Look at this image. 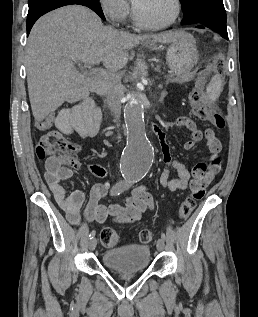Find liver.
I'll use <instances>...</instances> for the list:
<instances>
[{
  "label": "liver",
  "instance_id": "1",
  "mask_svg": "<svg viewBox=\"0 0 258 317\" xmlns=\"http://www.w3.org/2000/svg\"><path fill=\"white\" fill-rule=\"evenodd\" d=\"M181 30L159 34H130L104 26L100 16L81 4H69L47 12L35 22L27 40L25 66L28 94L37 126L64 100H71L89 76L76 70V60L103 62L108 72L128 62V48L140 40L175 42Z\"/></svg>",
  "mask_w": 258,
  "mask_h": 317
}]
</instances>
